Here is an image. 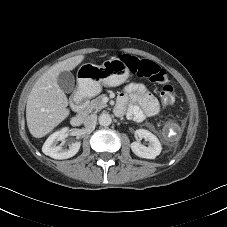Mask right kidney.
<instances>
[{
	"label": "right kidney",
	"instance_id": "ca27d5eb",
	"mask_svg": "<svg viewBox=\"0 0 227 227\" xmlns=\"http://www.w3.org/2000/svg\"><path fill=\"white\" fill-rule=\"evenodd\" d=\"M67 136L68 128H63L60 131L54 132L45 141L42 152L54 159H67L73 157L80 149V142L72 143L68 149H63L61 145L56 146L58 141H63Z\"/></svg>",
	"mask_w": 227,
	"mask_h": 227
}]
</instances>
